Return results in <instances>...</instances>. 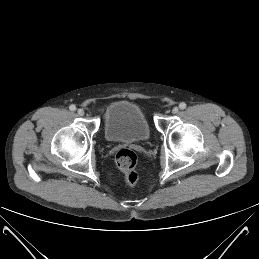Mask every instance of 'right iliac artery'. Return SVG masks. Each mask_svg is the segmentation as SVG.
<instances>
[{
	"instance_id": "82829eb1",
	"label": "right iliac artery",
	"mask_w": 259,
	"mask_h": 259,
	"mask_svg": "<svg viewBox=\"0 0 259 259\" xmlns=\"http://www.w3.org/2000/svg\"><path fill=\"white\" fill-rule=\"evenodd\" d=\"M69 109H70L71 111H75V110H76V106L72 104V105L69 106Z\"/></svg>"
}]
</instances>
